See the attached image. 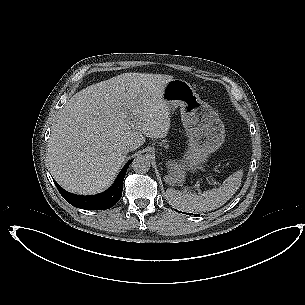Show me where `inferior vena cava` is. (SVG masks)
<instances>
[{"instance_id": "602c4592", "label": "inferior vena cava", "mask_w": 305, "mask_h": 305, "mask_svg": "<svg viewBox=\"0 0 305 305\" xmlns=\"http://www.w3.org/2000/svg\"><path fill=\"white\" fill-rule=\"evenodd\" d=\"M123 149H124L125 153H129L130 151L135 150L136 146L131 145V144H127V145H124Z\"/></svg>"}]
</instances>
